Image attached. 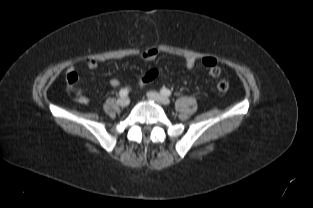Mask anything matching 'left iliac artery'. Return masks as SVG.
<instances>
[{
	"instance_id": "44dca946",
	"label": "left iliac artery",
	"mask_w": 313,
	"mask_h": 208,
	"mask_svg": "<svg viewBox=\"0 0 313 208\" xmlns=\"http://www.w3.org/2000/svg\"><path fill=\"white\" fill-rule=\"evenodd\" d=\"M160 92H161V94H163L164 96H171V91L169 90V89H167V88H162L161 90H160Z\"/></svg>"
}]
</instances>
